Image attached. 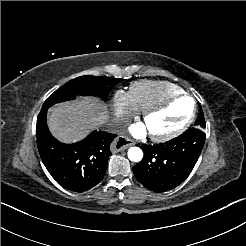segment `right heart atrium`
<instances>
[{"label": "right heart atrium", "mask_w": 246, "mask_h": 246, "mask_svg": "<svg viewBox=\"0 0 246 246\" xmlns=\"http://www.w3.org/2000/svg\"><path fill=\"white\" fill-rule=\"evenodd\" d=\"M112 107L116 116L120 118L131 116L134 111L129 93L123 90H118L115 92Z\"/></svg>", "instance_id": "d8ad5b80"}]
</instances>
